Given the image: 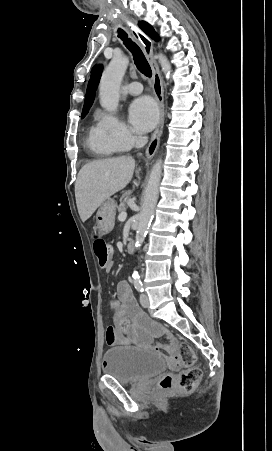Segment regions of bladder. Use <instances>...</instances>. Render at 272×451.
Wrapping results in <instances>:
<instances>
[{
	"instance_id": "1",
	"label": "bladder",
	"mask_w": 272,
	"mask_h": 451,
	"mask_svg": "<svg viewBox=\"0 0 272 451\" xmlns=\"http://www.w3.org/2000/svg\"><path fill=\"white\" fill-rule=\"evenodd\" d=\"M167 362L162 354L140 349L117 346L106 349L104 369L106 375L116 376L120 384H132L157 374L165 373Z\"/></svg>"
}]
</instances>
